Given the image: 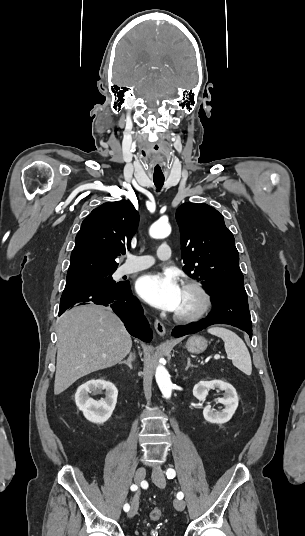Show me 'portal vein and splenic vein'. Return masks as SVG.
Segmentation results:
<instances>
[{"mask_svg": "<svg viewBox=\"0 0 305 536\" xmlns=\"http://www.w3.org/2000/svg\"><path fill=\"white\" fill-rule=\"evenodd\" d=\"M215 360H219L220 356L219 354H216V356H214Z\"/></svg>", "mask_w": 305, "mask_h": 536, "instance_id": "1", "label": "portal vein and splenic vein"}]
</instances>
